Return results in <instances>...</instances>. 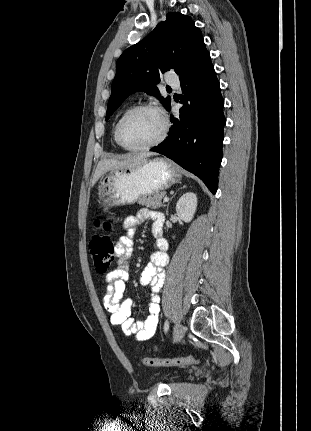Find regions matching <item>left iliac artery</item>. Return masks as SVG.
Here are the masks:
<instances>
[{
    "mask_svg": "<svg viewBox=\"0 0 311 431\" xmlns=\"http://www.w3.org/2000/svg\"><path fill=\"white\" fill-rule=\"evenodd\" d=\"M169 330V322H168V320L167 321H165V323H164V332L165 333H167V331Z\"/></svg>",
    "mask_w": 311,
    "mask_h": 431,
    "instance_id": "left-iliac-artery-1",
    "label": "left iliac artery"
}]
</instances>
